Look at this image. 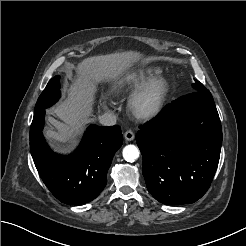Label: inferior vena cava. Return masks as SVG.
Masks as SVG:
<instances>
[{
  "label": "inferior vena cava",
  "instance_id": "inferior-vena-cava-1",
  "mask_svg": "<svg viewBox=\"0 0 246 246\" xmlns=\"http://www.w3.org/2000/svg\"><path fill=\"white\" fill-rule=\"evenodd\" d=\"M116 116L112 113H104L99 117V122L103 126H113L116 124Z\"/></svg>",
  "mask_w": 246,
  "mask_h": 246
}]
</instances>
